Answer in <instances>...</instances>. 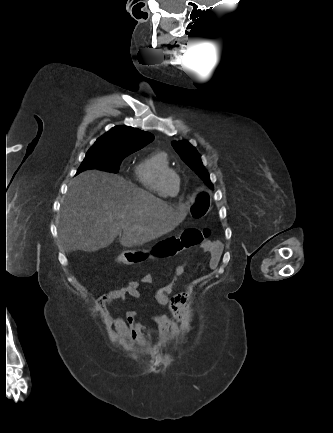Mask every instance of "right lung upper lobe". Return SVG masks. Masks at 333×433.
<instances>
[{
    "instance_id": "obj_1",
    "label": "right lung upper lobe",
    "mask_w": 333,
    "mask_h": 433,
    "mask_svg": "<svg viewBox=\"0 0 333 433\" xmlns=\"http://www.w3.org/2000/svg\"><path fill=\"white\" fill-rule=\"evenodd\" d=\"M154 136L130 126H115L101 136L92 147H103L122 153H133L150 143Z\"/></svg>"
}]
</instances>
